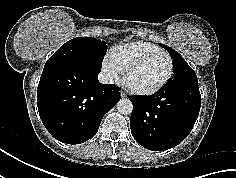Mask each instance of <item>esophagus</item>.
Returning a JSON list of instances; mask_svg holds the SVG:
<instances>
[{
	"instance_id": "1",
	"label": "esophagus",
	"mask_w": 236,
	"mask_h": 178,
	"mask_svg": "<svg viewBox=\"0 0 236 178\" xmlns=\"http://www.w3.org/2000/svg\"><path fill=\"white\" fill-rule=\"evenodd\" d=\"M120 96H121L122 98H125V97H126L125 92L121 90V91H120Z\"/></svg>"
}]
</instances>
